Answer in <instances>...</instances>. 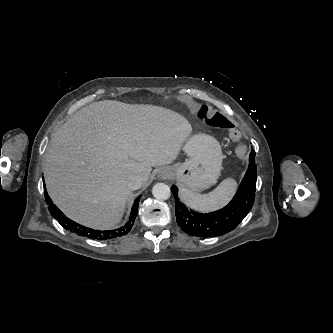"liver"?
I'll list each match as a JSON object with an SVG mask.
<instances>
[{"label": "liver", "mask_w": 333, "mask_h": 333, "mask_svg": "<svg viewBox=\"0 0 333 333\" xmlns=\"http://www.w3.org/2000/svg\"><path fill=\"white\" fill-rule=\"evenodd\" d=\"M192 133L182 115L152 105L103 100L73 115L51 138L44 175L49 196L72 220L99 230L121 220L131 194L153 166L172 163Z\"/></svg>", "instance_id": "1"}]
</instances>
